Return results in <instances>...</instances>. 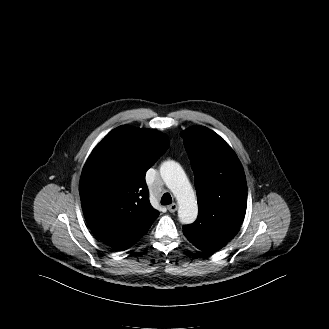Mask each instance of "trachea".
Listing matches in <instances>:
<instances>
[{
    "label": "trachea",
    "mask_w": 329,
    "mask_h": 329,
    "mask_svg": "<svg viewBox=\"0 0 329 329\" xmlns=\"http://www.w3.org/2000/svg\"><path fill=\"white\" fill-rule=\"evenodd\" d=\"M172 203V197L169 193H165L161 198L162 205H169Z\"/></svg>",
    "instance_id": "3493384b"
}]
</instances>
